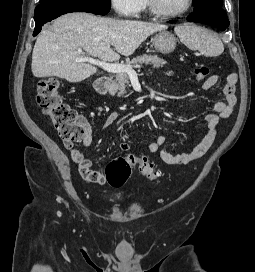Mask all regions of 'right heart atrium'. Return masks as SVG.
I'll return each instance as SVG.
<instances>
[{
	"mask_svg": "<svg viewBox=\"0 0 255 272\" xmlns=\"http://www.w3.org/2000/svg\"><path fill=\"white\" fill-rule=\"evenodd\" d=\"M113 9L121 16L132 17L140 11L141 0H110Z\"/></svg>",
	"mask_w": 255,
	"mask_h": 272,
	"instance_id": "d8ad5b80",
	"label": "right heart atrium"
}]
</instances>
